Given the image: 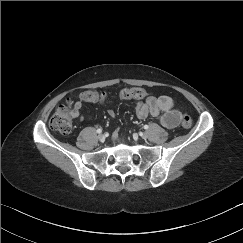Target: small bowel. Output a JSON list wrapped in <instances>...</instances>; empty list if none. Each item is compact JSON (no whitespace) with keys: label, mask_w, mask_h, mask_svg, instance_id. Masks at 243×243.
Masks as SVG:
<instances>
[{"label":"small bowel","mask_w":243,"mask_h":243,"mask_svg":"<svg viewBox=\"0 0 243 243\" xmlns=\"http://www.w3.org/2000/svg\"><path fill=\"white\" fill-rule=\"evenodd\" d=\"M83 102L82 97H80L74 103L73 115L79 120L83 119ZM135 110L139 119H145L148 116H160V123L166 128L178 126L182 116L181 112L175 109L173 99L166 95L159 97L147 96L145 100L136 102ZM108 113L111 116L114 115L113 110H109ZM118 132L119 128H116L114 131L115 135Z\"/></svg>","instance_id":"small-bowel-1"}]
</instances>
